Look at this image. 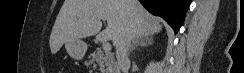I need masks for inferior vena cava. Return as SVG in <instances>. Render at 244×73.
Returning a JSON list of instances; mask_svg holds the SVG:
<instances>
[{
  "label": "inferior vena cava",
  "instance_id": "1",
  "mask_svg": "<svg viewBox=\"0 0 244 73\" xmlns=\"http://www.w3.org/2000/svg\"><path fill=\"white\" fill-rule=\"evenodd\" d=\"M132 39L133 37H132L131 30L129 28V25H127L116 43V57L122 73H128L130 67V61L128 58V49L130 47V43Z\"/></svg>",
  "mask_w": 244,
  "mask_h": 73
}]
</instances>
